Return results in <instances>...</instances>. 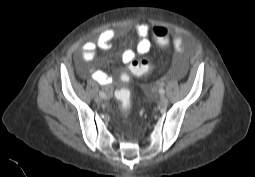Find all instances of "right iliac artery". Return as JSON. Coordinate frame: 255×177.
<instances>
[{
  "label": "right iliac artery",
  "mask_w": 255,
  "mask_h": 177,
  "mask_svg": "<svg viewBox=\"0 0 255 177\" xmlns=\"http://www.w3.org/2000/svg\"><path fill=\"white\" fill-rule=\"evenodd\" d=\"M99 95H100V97H102V98H106V94H105L103 91H100V92H99Z\"/></svg>",
  "instance_id": "right-iliac-artery-1"
}]
</instances>
